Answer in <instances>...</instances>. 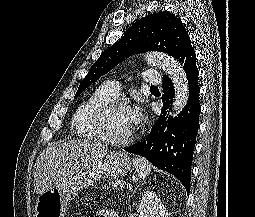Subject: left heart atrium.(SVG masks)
<instances>
[{"instance_id": "39dd6f15", "label": "left heart atrium", "mask_w": 255, "mask_h": 217, "mask_svg": "<svg viewBox=\"0 0 255 217\" xmlns=\"http://www.w3.org/2000/svg\"><path fill=\"white\" fill-rule=\"evenodd\" d=\"M130 121L135 128L141 121V110L138 106L128 108Z\"/></svg>"}]
</instances>
